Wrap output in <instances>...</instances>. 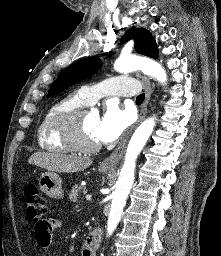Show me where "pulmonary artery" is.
I'll use <instances>...</instances> for the list:
<instances>
[{
	"label": "pulmonary artery",
	"mask_w": 221,
	"mask_h": 256,
	"mask_svg": "<svg viewBox=\"0 0 221 256\" xmlns=\"http://www.w3.org/2000/svg\"><path fill=\"white\" fill-rule=\"evenodd\" d=\"M79 91L88 104H93L108 95L135 96L139 92V83L132 78L112 77L96 85L83 86Z\"/></svg>",
	"instance_id": "1"
}]
</instances>
